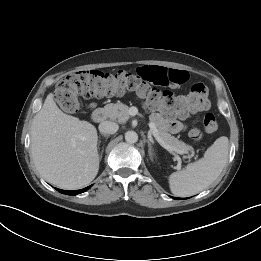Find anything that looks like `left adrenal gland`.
Wrapping results in <instances>:
<instances>
[{
	"label": "left adrenal gland",
	"instance_id": "obj_1",
	"mask_svg": "<svg viewBox=\"0 0 261 261\" xmlns=\"http://www.w3.org/2000/svg\"><path fill=\"white\" fill-rule=\"evenodd\" d=\"M147 143H148V155L149 158L153 161V157L155 156L154 149L149 140H147Z\"/></svg>",
	"mask_w": 261,
	"mask_h": 261
}]
</instances>
